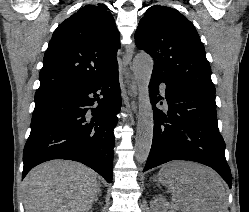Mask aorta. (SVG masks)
Returning <instances> with one entry per match:
<instances>
[{
  "label": "aorta",
  "instance_id": "aorta-1",
  "mask_svg": "<svg viewBox=\"0 0 249 212\" xmlns=\"http://www.w3.org/2000/svg\"><path fill=\"white\" fill-rule=\"evenodd\" d=\"M153 59L139 53L133 60V74L139 91V111L135 142V158L144 163L149 155L153 138V110L149 97V83L153 71Z\"/></svg>",
  "mask_w": 249,
  "mask_h": 212
}]
</instances>
